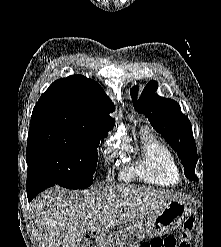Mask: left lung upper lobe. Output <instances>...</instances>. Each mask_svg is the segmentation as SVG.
I'll return each mask as SVG.
<instances>
[{
    "instance_id": "5c2ea615",
    "label": "left lung upper lobe",
    "mask_w": 221,
    "mask_h": 247,
    "mask_svg": "<svg viewBox=\"0 0 221 247\" xmlns=\"http://www.w3.org/2000/svg\"><path fill=\"white\" fill-rule=\"evenodd\" d=\"M157 82L150 81L143 89L137 100L138 86L133 87L131 97L134 107L139 113L145 114L153 128L159 132L177 152L184 166V174L189 180L197 181L195 166L197 162V149L193 138L192 126L187 116L173 99L158 96L155 91Z\"/></svg>"
}]
</instances>
